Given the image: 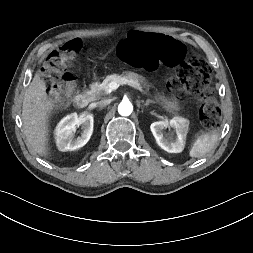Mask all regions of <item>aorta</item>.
<instances>
[{"mask_svg": "<svg viewBox=\"0 0 253 253\" xmlns=\"http://www.w3.org/2000/svg\"><path fill=\"white\" fill-rule=\"evenodd\" d=\"M133 111V105L128 100H123L118 106V112L122 116H129Z\"/></svg>", "mask_w": 253, "mask_h": 253, "instance_id": "1", "label": "aorta"}]
</instances>
